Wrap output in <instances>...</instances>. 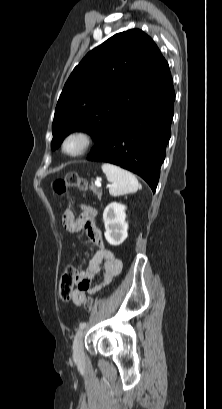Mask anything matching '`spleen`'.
<instances>
[{"instance_id":"spleen-1","label":"spleen","mask_w":222,"mask_h":409,"mask_svg":"<svg viewBox=\"0 0 222 409\" xmlns=\"http://www.w3.org/2000/svg\"><path fill=\"white\" fill-rule=\"evenodd\" d=\"M102 170L108 181L112 182L109 188V193L112 196L129 194L141 189V184L137 178L127 170L109 163H103Z\"/></svg>"}]
</instances>
